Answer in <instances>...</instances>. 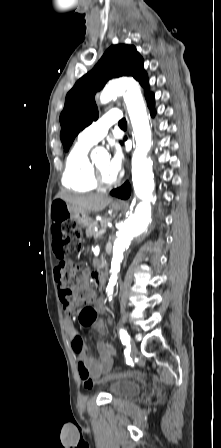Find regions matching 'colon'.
<instances>
[{
  "mask_svg": "<svg viewBox=\"0 0 221 448\" xmlns=\"http://www.w3.org/2000/svg\"><path fill=\"white\" fill-rule=\"evenodd\" d=\"M53 218L58 222L56 234L61 242L56 246L58 250L59 265L55 271V278L59 287V296L63 304L70 305L79 291L80 280L75 273L73 264L67 255L78 251L82 246V235L74 218L67 215L66 207L57 204L53 209ZM83 324L89 326L97 319V312L92 306H85L82 310ZM80 339L75 337L74 344L78 347ZM79 374L85 389H92L96 381L92 378L87 366L79 362ZM132 376H142L140 372L130 373Z\"/></svg>",
  "mask_w": 221,
  "mask_h": 448,
  "instance_id": "1",
  "label": "colon"
}]
</instances>
